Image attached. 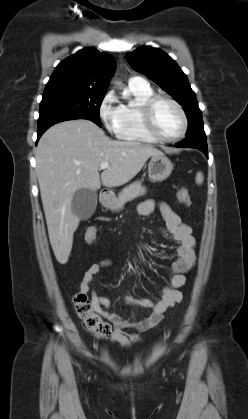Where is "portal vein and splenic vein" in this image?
Wrapping results in <instances>:
<instances>
[{
  "mask_svg": "<svg viewBox=\"0 0 248 419\" xmlns=\"http://www.w3.org/2000/svg\"><path fill=\"white\" fill-rule=\"evenodd\" d=\"M107 168H109V163H107V162H104V163H101V165H100V169H107Z\"/></svg>",
  "mask_w": 248,
  "mask_h": 419,
  "instance_id": "obj_1",
  "label": "portal vein and splenic vein"
}]
</instances>
